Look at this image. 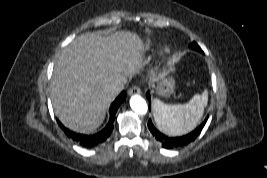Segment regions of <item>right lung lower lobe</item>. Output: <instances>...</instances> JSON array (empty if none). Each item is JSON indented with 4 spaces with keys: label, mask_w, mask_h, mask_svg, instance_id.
I'll use <instances>...</instances> for the list:
<instances>
[{
    "label": "right lung lower lobe",
    "mask_w": 267,
    "mask_h": 178,
    "mask_svg": "<svg viewBox=\"0 0 267 178\" xmlns=\"http://www.w3.org/2000/svg\"><path fill=\"white\" fill-rule=\"evenodd\" d=\"M125 99H126V93H125V91H123L116 98V100L112 103V105L110 107V110H109L110 111V118H109V121H108L106 127L102 131H100L94 135L78 134V133H75V132L70 131L69 129L65 128L60 122H58V124L63 129L65 134L69 138H71L72 140L76 141L77 143H79L80 145H82L84 147H94V146L104 142L111 134V132L113 130V123H114V119H115V114H116L119 106L121 105V103L124 102Z\"/></svg>",
    "instance_id": "98d812e1"
}]
</instances>
